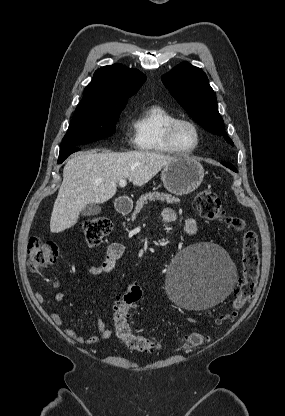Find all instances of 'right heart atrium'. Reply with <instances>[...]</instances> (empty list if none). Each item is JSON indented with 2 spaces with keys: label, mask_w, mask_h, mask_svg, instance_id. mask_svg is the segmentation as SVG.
Here are the masks:
<instances>
[{
  "label": "right heart atrium",
  "mask_w": 285,
  "mask_h": 416,
  "mask_svg": "<svg viewBox=\"0 0 285 416\" xmlns=\"http://www.w3.org/2000/svg\"><path fill=\"white\" fill-rule=\"evenodd\" d=\"M126 142L128 146H136V137H135V131L132 129L131 126H129V129L126 133Z\"/></svg>",
  "instance_id": "d8ad5b80"
}]
</instances>
